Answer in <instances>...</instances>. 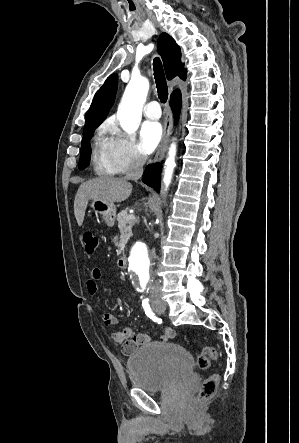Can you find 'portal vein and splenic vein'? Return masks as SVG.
<instances>
[{"mask_svg":"<svg viewBox=\"0 0 299 443\" xmlns=\"http://www.w3.org/2000/svg\"><path fill=\"white\" fill-rule=\"evenodd\" d=\"M127 219H128V220L135 219V216H134V215H129V216L127 217Z\"/></svg>","mask_w":299,"mask_h":443,"instance_id":"obj_1","label":"portal vein and splenic vein"}]
</instances>
